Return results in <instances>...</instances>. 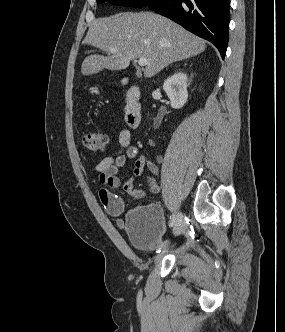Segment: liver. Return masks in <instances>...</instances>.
Returning a JSON list of instances; mask_svg holds the SVG:
<instances>
[{
    "mask_svg": "<svg viewBox=\"0 0 285 332\" xmlns=\"http://www.w3.org/2000/svg\"><path fill=\"white\" fill-rule=\"evenodd\" d=\"M84 43L99 48L108 56L90 55L81 66L84 76L103 69L122 70L135 58L148 61L146 78L153 77L167 65L194 57L206 48V42L177 23L152 12L118 13L94 20ZM111 48L116 53H110Z\"/></svg>",
    "mask_w": 285,
    "mask_h": 332,
    "instance_id": "1",
    "label": "liver"
}]
</instances>
